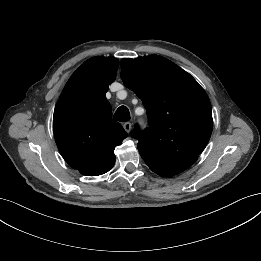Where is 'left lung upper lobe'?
Segmentation results:
<instances>
[{
  "instance_id": "left-lung-upper-lobe-1",
  "label": "left lung upper lobe",
  "mask_w": 261,
  "mask_h": 261,
  "mask_svg": "<svg viewBox=\"0 0 261 261\" xmlns=\"http://www.w3.org/2000/svg\"><path fill=\"white\" fill-rule=\"evenodd\" d=\"M124 84L142 100L149 129H135L138 150L160 176L188 169L205 149L213 128L210 100L182 68L158 56L121 60Z\"/></svg>"
}]
</instances>
